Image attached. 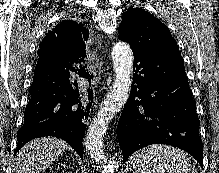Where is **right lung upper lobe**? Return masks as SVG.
I'll list each match as a JSON object with an SVG mask.
<instances>
[{"label": "right lung upper lobe", "instance_id": "right-lung-upper-lobe-1", "mask_svg": "<svg viewBox=\"0 0 219 173\" xmlns=\"http://www.w3.org/2000/svg\"><path fill=\"white\" fill-rule=\"evenodd\" d=\"M88 36V30L83 24L63 21L44 37L39 46L38 61L84 59Z\"/></svg>", "mask_w": 219, "mask_h": 173}]
</instances>
